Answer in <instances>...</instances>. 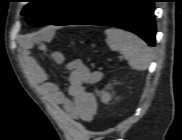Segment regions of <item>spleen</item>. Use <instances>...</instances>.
Returning <instances> with one entry per match:
<instances>
[{"label": "spleen", "instance_id": "3e777b00", "mask_svg": "<svg viewBox=\"0 0 182 140\" xmlns=\"http://www.w3.org/2000/svg\"><path fill=\"white\" fill-rule=\"evenodd\" d=\"M106 42L112 51L121 52L129 66L138 71L148 69L152 60V51L137 35L122 29L105 30Z\"/></svg>", "mask_w": 182, "mask_h": 140}]
</instances>
